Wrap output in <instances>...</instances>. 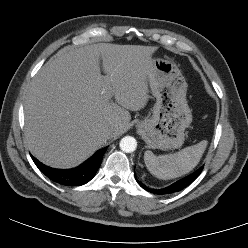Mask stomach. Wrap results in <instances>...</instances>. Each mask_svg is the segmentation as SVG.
Returning a JSON list of instances; mask_svg holds the SVG:
<instances>
[{
	"label": "stomach",
	"mask_w": 248,
	"mask_h": 248,
	"mask_svg": "<svg viewBox=\"0 0 248 248\" xmlns=\"http://www.w3.org/2000/svg\"><path fill=\"white\" fill-rule=\"evenodd\" d=\"M151 62L148 81L156 103L152 117L136 126L148 138L150 148H179L184 143V131L192 122L186 101L188 85L175 63L161 58H153Z\"/></svg>",
	"instance_id": "1"
}]
</instances>
